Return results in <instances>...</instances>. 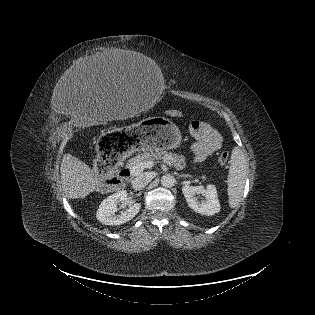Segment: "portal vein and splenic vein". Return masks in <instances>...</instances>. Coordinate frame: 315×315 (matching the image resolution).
I'll return each instance as SVG.
<instances>
[{"mask_svg": "<svg viewBox=\"0 0 315 315\" xmlns=\"http://www.w3.org/2000/svg\"><path fill=\"white\" fill-rule=\"evenodd\" d=\"M158 162L159 161H157V162L147 161V162L137 163L135 166H133L130 169V172L134 176L139 175L145 168H151L155 165V163H158ZM163 162L168 164L169 166H172V164L169 161L163 160Z\"/></svg>", "mask_w": 315, "mask_h": 315, "instance_id": "18ae733b", "label": "portal vein and splenic vein"}]
</instances>
